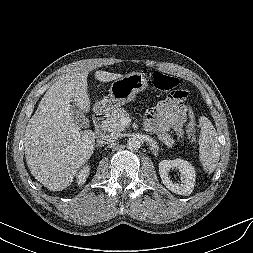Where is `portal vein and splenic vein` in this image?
<instances>
[{
    "label": "portal vein and splenic vein",
    "mask_w": 253,
    "mask_h": 253,
    "mask_svg": "<svg viewBox=\"0 0 253 253\" xmlns=\"http://www.w3.org/2000/svg\"><path fill=\"white\" fill-rule=\"evenodd\" d=\"M130 118L129 117H123L121 120H120V123L122 126H127L129 123H130Z\"/></svg>",
    "instance_id": "portal-vein-and-splenic-vein-1"
}]
</instances>
